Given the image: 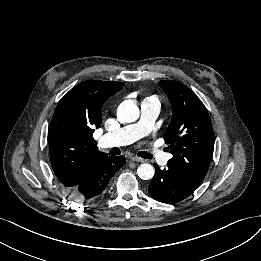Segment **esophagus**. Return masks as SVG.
<instances>
[{
	"label": "esophagus",
	"instance_id": "esophagus-1",
	"mask_svg": "<svg viewBox=\"0 0 261 261\" xmlns=\"http://www.w3.org/2000/svg\"><path fill=\"white\" fill-rule=\"evenodd\" d=\"M130 159L135 162H145L144 159L137 157V156H131Z\"/></svg>",
	"mask_w": 261,
	"mask_h": 261
}]
</instances>
